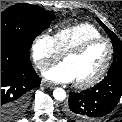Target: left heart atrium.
<instances>
[{"instance_id":"39dd6f15","label":"left heart atrium","mask_w":122,"mask_h":122,"mask_svg":"<svg viewBox=\"0 0 122 122\" xmlns=\"http://www.w3.org/2000/svg\"><path fill=\"white\" fill-rule=\"evenodd\" d=\"M43 75L47 80L56 83L74 82L72 72L65 62L47 69Z\"/></svg>"}]
</instances>
